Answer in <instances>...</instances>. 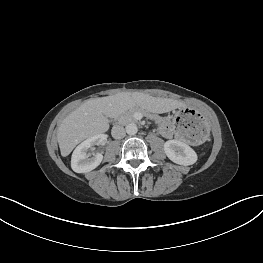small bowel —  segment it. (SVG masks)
Masks as SVG:
<instances>
[{
	"instance_id": "small-bowel-1",
	"label": "small bowel",
	"mask_w": 263,
	"mask_h": 263,
	"mask_svg": "<svg viewBox=\"0 0 263 263\" xmlns=\"http://www.w3.org/2000/svg\"><path fill=\"white\" fill-rule=\"evenodd\" d=\"M160 132L166 138H172L175 135L174 127L168 119L161 123Z\"/></svg>"
}]
</instances>
